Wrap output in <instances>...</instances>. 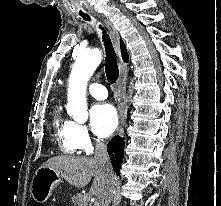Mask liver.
Listing matches in <instances>:
<instances>
[{
  "mask_svg": "<svg viewBox=\"0 0 221 206\" xmlns=\"http://www.w3.org/2000/svg\"><path fill=\"white\" fill-rule=\"evenodd\" d=\"M43 166L54 169L67 182L79 188L86 186L94 177L91 194L98 197L102 192L105 177L95 158L61 155L48 159Z\"/></svg>",
  "mask_w": 221,
  "mask_h": 206,
  "instance_id": "obj_1",
  "label": "liver"
}]
</instances>
